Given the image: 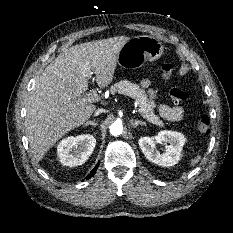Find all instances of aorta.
Here are the masks:
<instances>
[{
  "label": "aorta",
  "instance_id": "obj_1",
  "mask_svg": "<svg viewBox=\"0 0 233 233\" xmlns=\"http://www.w3.org/2000/svg\"><path fill=\"white\" fill-rule=\"evenodd\" d=\"M123 132V126L122 123L120 122H114L111 126H110V133L113 136H119L121 135Z\"/></svg>",
  "mask_w": 233,
  "mask_h": 233
}]
</instances>
